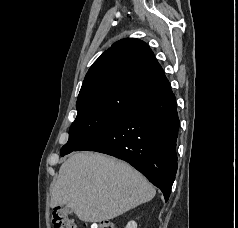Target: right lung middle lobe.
Returning a JSON list of instances; mask_svg holds the SVG:
<instances>
[{
	"label": "right lung middle lobe",
	"mask_w": 238,
	"mask_h": 228,
	"mask_svg": "<svg viewBox=\"0 0 238 228\" xmlns=\"http://www.w3.org/2000/svg\"><path fill=\"white\" fill-rule=\"evenodd\" d=\"M124 112L123 110H85L78 112L69 130V140L61 148V156L77 149L110 125Z\"/></svg>",
	"instance_id": "dd1d6c3e"
}]
</instances>
